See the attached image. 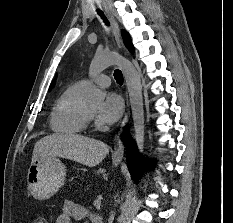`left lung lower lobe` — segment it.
Returning <instances> with one entry per match:
<instances>
[{"mask_svg": "<svg viewBox=\"0 0 233 223\" xmlns=\"http://www.w3.org/2000/svg\"><path fill=\"white\" fill-rule=\"evenodd\" d=\"M122 140L124 141V144L127 147L126 159L128 169L132 178L136 181L141 177L144 171L145 162L138 153L136 145L131 141L128 128L124 129V133L122 134ZM151 164L154 165L153 162Z\"/></svg>", "mask_w": 233, "mask_h": 223, "instance_id": "0a47b994", "label": "left lung lower lobe"}]
</instances>
